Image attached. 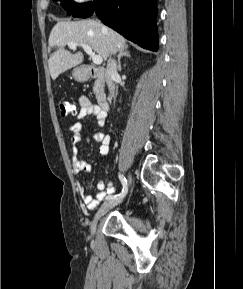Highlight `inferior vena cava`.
I'll return each mask as SVG.
<instances>
[{"label":"inferior vena cava","mask_w":243,"mask_h":289,"mask_svg":"<svg viewBox=\"0 0 243 289\" xmlns=\"http://www.w3.org/2000/svg\"><path fill=\"white\" fill-rule=\"evenodd\" d=\"M117 76H118V73H117L116 61L110 58L107 62V68H106V82L109 88L110 97H114L115 85L113 83V80Z\"/></svg>","instance_id":"602c4592"}]
</instances>
